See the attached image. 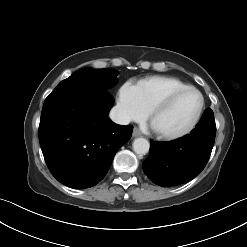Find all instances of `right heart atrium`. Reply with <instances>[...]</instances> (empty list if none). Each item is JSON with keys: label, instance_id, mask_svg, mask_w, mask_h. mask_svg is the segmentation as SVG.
<instances>
[{"label": "right heart atrium", "instance_id": "right-heart-atrium-1", "mask_svg": "<svg viewBox=\"0 0 247 247\" xmlns=\"http://www.w3.org/2000/svg\"><path fill=\"white\" fill-rule=\"evenodd\" d=\"M118 110L125 120H140L147 110L143 107L135 86L124 84L118 94Z\"/></svg>", "mask_w": 247, "mask_h": 247}]
</instances>
